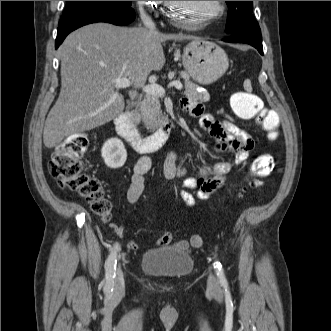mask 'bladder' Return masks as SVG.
<instances>
[{
  "label": "bladder",
  "mask_w": 331,
  "mask_h": 331,
  "mask_svg": "<svg viewBox=\"0 0 331 331\" xmlns=\"http://www.w3.org/2000/svg\"><path fill=\"white\" fill-rule=\"evenodd\" d=\"M139 266L145 272L163 279H177L189 275L194 267L191 253L171 245L147 249Z\"/></svg>",
  "instance_id": "bladder-1"
}]
</instances>
